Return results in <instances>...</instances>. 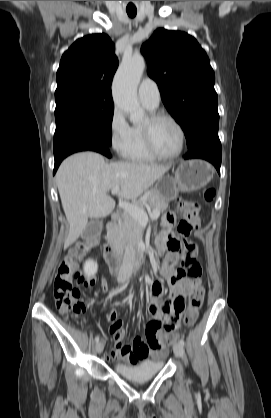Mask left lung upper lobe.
<instances>
[{
    "instance_id": "left-lung-upper-lobe-1",
    "label": "left lung upper lobe",
    "mask_w": 271,
    "mask_h": 418,
    "mask_svg": "<svg viewBox=\"0 0 271 418\" xmlns=\"http://www.w3.org/2000/svg\"><path fill=\"white\" fill-rule=\"evenodd\" d=\"M141 51L165 107L185 133L187 147L218 136L215 75L196 39L185 32L160 28L142 45Z\"/></svg>"
}]
</instances>
